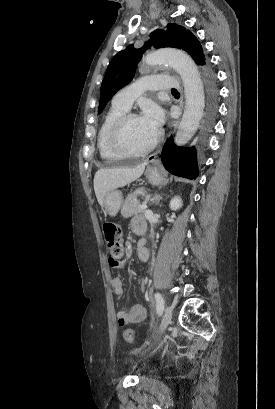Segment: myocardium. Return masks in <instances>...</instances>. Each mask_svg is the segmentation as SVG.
Listing matches in <instances>:
<instances>
[{
	"label": "myocardium",
	"instance_id": "myocardium-1",
	"mask_svg": "<svg viewBox=\"0 0 275 409\" xmlns=\"http://www.w3.org/2000/svg\"><path fill=\"white\" fill-rule=\"evenodd\" d=\"M141 116L134 112L122 115L113 125L110 136V148L119 157L143 156L150 153L158 144L160 134L156 133L154 139L142 149L129 148L124 141V135L128 124Z\"/></svg>",
	"mask_w": 275,
	"mask_h": 409
}]
</instances>
